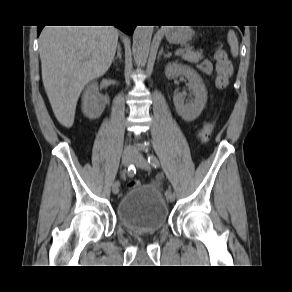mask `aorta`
Wrapping results in <instances>:
<instances>
[{"label":"aorta","mask_w":292,"mask_h":292,"mask_svg":"<svg viewBox=\"0 0 292 292\" xmlns=\"http://www.w3.org/2000/svg\"><path fill=\"white\" fill-rule=\"evenodd\" d=\"M153 26H136L133 33V57L138 66L145 65L150 51Z\"/></svg>","instance_id":"aorta-1"}]
</instances>
